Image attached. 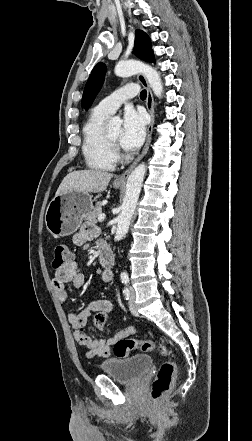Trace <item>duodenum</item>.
Instances as JSON below:
<instances>
[{"label":"duodenum","instance_id":"410a0bca","mask_svg":"<svg viewBox=\"0 0 252 441\" xmlns=\"http://www.w3.org/2000/svg\"><path fill=\"white\" fill-rule=\"evenodd\" d=\"M99 262L106 269H111L114 264V257L111 249L107 245H101L98 249Z\"/></svg>","mask_w":252,"mask_h":441}]
</instances>
